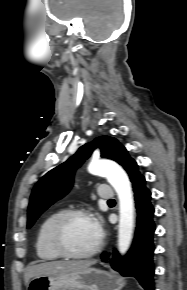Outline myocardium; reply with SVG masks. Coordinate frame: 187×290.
Wrapping results in <instances>:
<instances>
[{
	"instance_id": "f54148a6",
	"label": "myocardium",
	"mask_w": 187,
	"mask_h": 290,
	"mask_svg": "<svg viewBox=\"0 0 187 290\" xmlns=\"http://www.w3.org/2000/svg\"><path fill=\"white\" fill-rule=\"evenodd\" d=\"M76 217H87L94 221L93 215L90 211L85 209H71L64 211L54 221L50 230V242L56 253L61 257L71 259H86L97 254L103 245V234L99 230V239L97 243L90 250L86 252H75L71 250L65 243L64 233L67 223Z\"/></svg>"
}]
</instances>
